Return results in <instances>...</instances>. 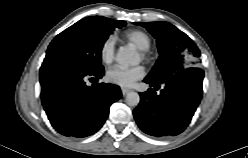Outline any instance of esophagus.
<instances>
[{"label": "esophagus", "mask_w": 248, "mask_h": 158, "mask_svg": "<svg viewBox=\"0 0 248 158\" xmlns=\"http://www.w3.org/2000/svg\"><path fill=\"white\" fill-rule=\"evenodd\" d=\"M122 94L125 96L126 94H128L131 90L128 88H121Z\"/></svg>", "instance_id": "obj_1"}]
</instances>
